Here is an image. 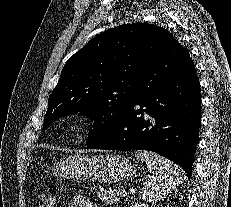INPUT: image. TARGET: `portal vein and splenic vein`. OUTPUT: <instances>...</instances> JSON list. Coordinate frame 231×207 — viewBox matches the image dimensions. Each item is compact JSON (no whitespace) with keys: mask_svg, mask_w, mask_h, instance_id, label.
Returning a JSON list of instances; mask_svg holds the SVG:
<instances>
[{"mask_svg":"<svg viewBox=\"0 0 231 207\" xmlns=\"http://www.w3.org/2000/svg\"><path fill=\"white\" fill-rule=\"evenodd\" d=\"M127 195V192H126V190H122L121 192H120V196H126Z\"/></svg>","mask_w":231,"mask_h":207,"instance_id":"obj_1","label":"portal vein and splenic vein"}]
</instances>
